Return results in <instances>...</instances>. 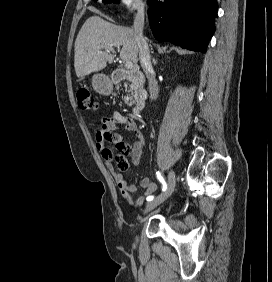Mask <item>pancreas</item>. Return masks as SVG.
<instances>
[{"label":"pancreas","instance_id":"obj_1","mask_svg":"<svg viewBox=\"0 0 272 282\" xmlns=\"http://www.w3.org/2000/svg\"><path fill=\"white\" fill-rule=\"evenodd\" d=\"M129 87H130L129 92L131 93V95L125 96V97H124V101H125L126 104L131 105V104H133V102H134V98H135L136 95H137V91L135 90V84H134V83H131V84L129 85Z\"/></svg>","mask_w":272,"mask_h":282}]
</instances>
